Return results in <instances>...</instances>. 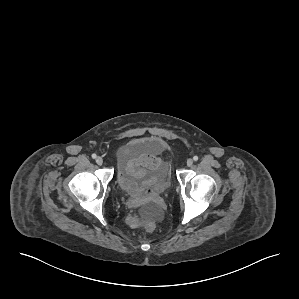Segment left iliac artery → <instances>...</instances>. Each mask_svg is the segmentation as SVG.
I'll use <instances>...</instances> for the list:
<instances>
[{"instance_id": "obj_1", "label": "left iliac artery", "mask_w": 299, "mask_h": 299, "mask_svg": "<svg viewBox=\"0 0 299 299\" xmlns=\"http://www.w3.org/2000/svg\"><path fill=\"white\" fill-rule=\"evenodd\" d=\"M193 160H194V161H197V160H198V156H194V157H193Z\"/></svg>"}]
</instances>
